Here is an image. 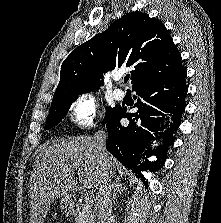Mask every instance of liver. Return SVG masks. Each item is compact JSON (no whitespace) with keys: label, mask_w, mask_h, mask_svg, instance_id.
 <instances>
[{"label":"liver","mask_w":221,"mask_h":223,"mask_svg":"<svg viewBox=\"0 0 221 223\" xmlns=\"http://www.w3.org/2000/svg\"><path fill=\"white\" fill-rule=\"evenodd\" d=\"M106 161L114 174L118 162L108 152ZM100 175L101 162L94 138L77 136L44 147L36 157L29 182L30 223H42L54 200L80 186L98 190Z\"/></svg>","instance_id":"1"}]
</instances>
